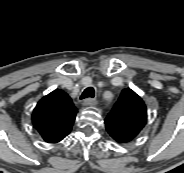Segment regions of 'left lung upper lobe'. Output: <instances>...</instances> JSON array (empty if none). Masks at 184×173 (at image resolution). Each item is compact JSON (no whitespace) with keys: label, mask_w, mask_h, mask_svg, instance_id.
<instances>
[{"label":"left lung upper lobe","mask_w":184,"mask_h":173,"mask_svg":"<svg viewBox=\"0 0 184 173\" xmlns=\"http://www.w3.org/2000/svg\"><path fill=\"white\" fill-rule=\"evenodd\" d=\"M147 121L146 106L133 90L124 89L105 119L106 130L117 142L128 143L136 138Z\"/></svg>","instance_id":"5c2ea615"}]
</instances>
